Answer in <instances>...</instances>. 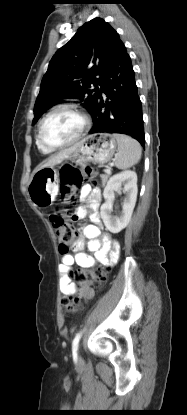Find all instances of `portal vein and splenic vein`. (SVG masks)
Instances as JSON below:
<instances>
[{
  "label": "portal vein and splenic vein",
  "mask_w": 187,
  "mask_h": 415,
  "mask_svg": "<svg viewBox=\"0 0 187 415\" xmlns=\"http://www.w3.org/2000/svg\"><path fill=\"white\" fill-rule=\"evenodd\" d=\"M113 164H110V166H112ZM106 173L110 172V167H108L107 169L104 170Z\"/></svg>",
  "instance_id": "18ae733b"
}]
</instances>
